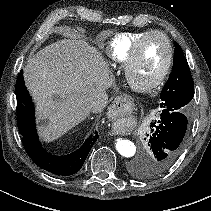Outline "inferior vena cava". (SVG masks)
<instances>
[{
  "label": "inferior vena cava",
  "instance_id": "inferior-vena-cava-1",
  "mask_svg": "<svg viewBox=\"0 0 211 211\" xmlns=\"http://www.w3.org/2000/svg\"><path fill=\"white\" fill-rule=\"evenodd\" d=\"M103 95V92L101 90H98L96 92V95L92 98L91 107L94 108L97 105V102L101 99V96Z\"/></svg>",
  "mask_w": 211,
  "mask_h": 211
}]
</instances>
